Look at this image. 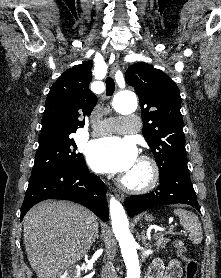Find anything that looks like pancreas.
Segmentation results:
<instances>
[{"label":"pancreas","mask_w":221,"mask_h":278,"mask_svg":"<svg viewBox=\"0 0 221 278\" xmlns=\"http://www.w3.org/2000/svg\"><path fill=\"white\" fill-rule=\"evenodd\" d=\"M154 239L156 240L155 246L160 247V248H165L166 243L169 242V239L166 237H163L162 234H157L154 236Z\"/></svg>","instance_id":"cf45deb5"}]
</instances>
